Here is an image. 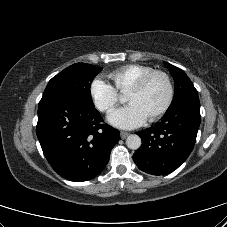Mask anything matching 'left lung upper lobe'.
I'll list each match as a JSON object with an SVG mask.
<instances>
[{
	"label": "left lung upper lobe",
	"instance_id": "5c2ea615",
	"mask_svg": "<svg viewBox=\"0 0 227 227\" xmlns=\"http://www.w3.org/2000/svg\"><path fill=\"white\" fill-rule=\"evenodd\" d=\"M164 64L170 70L175 82L174 98L170 107L180 102L184 98L198 96V92L195 89L193 83L183 70L166 62H164Z\"/></svg>",
	"mask_w": 227,
	"mask_h": 227
}]
</instances>
